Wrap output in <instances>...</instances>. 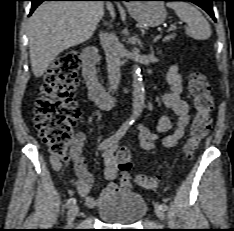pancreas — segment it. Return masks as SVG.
Returning <instances> with one entry per match:
<instances>
[{"label": "pancreas", "instance_id": "pancreas-1", "mask_svg": "<svg viewBox=\"0 0 234 231\" xmlns=\"http://www.w3.org/2000/svg\"><path fill=\"white\" fill-rule=\"evenodd\" d=\"M175 37V35H170V36H167V37H165V41H168L169 39H171V38H174Z\"/></svg>", "mask_w": 234, "mask_h": 231}]
</instances>
